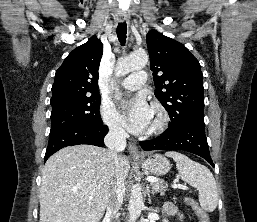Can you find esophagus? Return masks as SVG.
I'll return each instance as SVG.
<instances>
[{
  "instance_id": "34e87169",
  "label": "esophagus",
  "mask_w": 257,
  "mask_h": 222,
  "mask_svg": "<svg viewBox=\"0 0 257 222\" xmlns=\"http://www.w3.org/2000/svg\"><path fill=\"white\" fill-rule=\"evenodd\" d=\"M119 20L121 22H125V21L128 22L129 18H128V16L125 13H121L119 15ZM128 148H129V153H130L131 157H133V158L141 157L140 150H139L138 146L134 142H129Z\"/></svg>"
}]
</instances>
